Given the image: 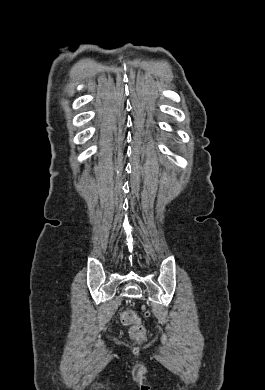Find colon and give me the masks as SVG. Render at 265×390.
<instances>
[{
	"mask_svg": "<svg viewBox=\"0 0 265 390\" xmlns=\"http://www.w3.org/2000/svg\"><path fill=\"white\" fill-rule=\"evenodd\" d=\"M144 316L148 317L149 314L144 312ZM120 320L125 325H131L130 336L136 341H143L146 338V329L141 323L139 317L132 311H124L120 315Z\"/></svg>",
	"mask_w": 265,
	"mask_h": 390,
	"instance_id": "1",
	"label": "colon"
}]
</instances>
